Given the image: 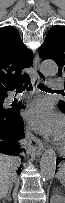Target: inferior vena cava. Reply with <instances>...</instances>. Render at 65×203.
Masks as SVG:
<instances>
[{"mask_svg": "<svg viewBox=\"0 0 65 203\" xmlns=\"http://www.w3.org/2000/svg\"><path fill=\"white\" fill-rule=\"evenodd\" d=\"M20 144L22 147H26L28 145V142H27V140H21Z\"/></svg>", "mask_w": 65, "mask_h": 203, "instance_id": "602c4592", "label": "inferior vena cava"}]
</instances>
